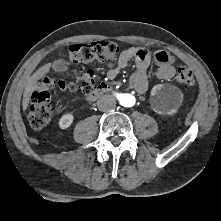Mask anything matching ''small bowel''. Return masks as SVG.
I'll return each instance as SVG.
<instances>
[{
  "instance_id": "1",
  "label": "small bowel",
  "mask_w": 221,
  "mask_h": 221,
  "mask_svg": "<svg viewBox=\"0 0 221 221\" xmlns=\"http://www.w3.org/2000/svg\"><path fill=\"white\" fill-rule=\"evenodd\" d=\"M132 60L135 61L136 71L129 79V88L138 94H145L149 86L147 71L152 63L151 54L145 48L130 47L121 53L116 62L107 63V78L115 79ZM154 60L157 65L156 77L158 79L169 80L174 76L175 67L173 66L174 58L172 55L165 51H157Z\"/></svg>"
}]
</instances>
